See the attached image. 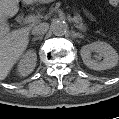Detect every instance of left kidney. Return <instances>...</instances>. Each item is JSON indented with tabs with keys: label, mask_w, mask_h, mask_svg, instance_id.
Segmentation results:
<instances>
[{
	"label": "left kidney",
	"mask_w": 119,
	"mask_h": 119,
	"mask_svg": "<svg viewBox=\"0 0 119 119\" xmlns=\"http://www.w3.org/2000/svg\"><path fill=\"white\" fill-rule=\"evenodd\" d=\"M96 52L99 57H103L100 61L99 57L92 58L91 53ZM80 54L84 64L93 70H106L117 65L118 54L115 49L108 43L96 41L92 44L85 45L81 48Z\"/></svg>",
	"instance_id": "1"
}]
</instances>
